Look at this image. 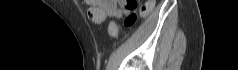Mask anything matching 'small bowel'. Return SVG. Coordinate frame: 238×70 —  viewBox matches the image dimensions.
Listing matches in <instances>:
<instances>
[{
    "label": "small bowel",
    "instance_id": "obj_1",
    "mask_svg": "<svg viewBox=\"0 0 238 70\" xmlns=\"http://www.w3.org/2000/svg\"><path fill=\"white\" fill-rule=\"evenodd\" d=\"M89 6L87 17L94 23H101L107 17L120 19L130 11L125 6V0H86Z\"/></svg>",
    "mask_w": 238,
    "mask_h": 70
}]
</instances>
